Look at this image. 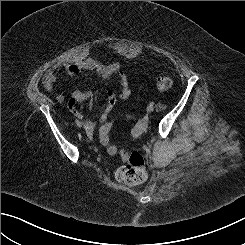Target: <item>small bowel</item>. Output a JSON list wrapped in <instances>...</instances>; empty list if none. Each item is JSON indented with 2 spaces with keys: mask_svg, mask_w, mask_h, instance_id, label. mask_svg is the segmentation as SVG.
Wrapping results in <instances>:
<instances>
[{
  "mask_svg": "<svg viewBox=\"0 0 245 245\" xmlns=\"http://www.w3.org/2000/svg\"><path fill=\"white\" fill-rule=\"evenodd\" d=\"M61 72H65L70 76H76L82 72H90L97 79L101 81H108L112 76L117 75L119 77L120 89L117 93L113 89L107 91V102L104 110L98 117L99 123H104L109 117L110 113L114 109L118 98L125 100L130 94V88L128 81L121 69L118 62H112L109 64H101L100 62L94 60L93 58H85L82 60L68 62V63H58L52 66L43 76V86L48 91L53 93L55 90V82L58 75ZM55 99L59 103L65 101V96L62 93H55ZM94 99V94L91 91H82L75 89L71 92L70 99L68 101V108L70 112L80 118L85 122V126L88 130L92 131L96 126V121L88 117L85 112L76 107L79 102H88L89 106L92 105Z\"/></svg>",
  "mask_w": 245,
  "mask_h": 245,
  "instance_id": "c3829d8e",
  "label": "small bowel"
}]
</instances>
